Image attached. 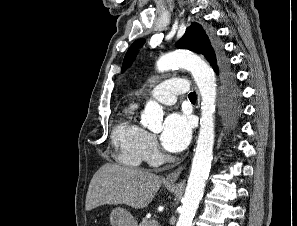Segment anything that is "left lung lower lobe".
Returning a JSON list of instances; mask_svg holds the SVG:
<instances>
[{
    "instance_id": "obj_1",
    "label": "left lung lower lobe",
    "mask_w": 297,
    "mask_h": 226,
    "mask_svg": "<svg viewBox=\"0 0 297 226\" xmlns=\"http://www.w3.org/2000/svg\"><path fill=\"white\" fill-rule=\"evenodd\" d=\"M225 78L228 81V83L231 85L233 84V75L228 71L226 68L225 71ZM241 114V106L239 103V92L237 90H234L232 88V91L230 93V96L228 97L226 101V115L229 122H234L237 117H239Z\"/></svg>"
}]
</instances>
